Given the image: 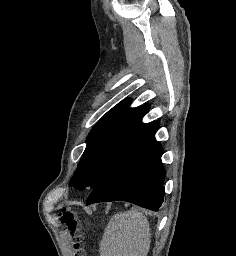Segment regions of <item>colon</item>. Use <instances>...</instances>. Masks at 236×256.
I'll return each mask as SVG.
<instances>
[{
	"label": "colon",
	"mask_w": 236,
	"mask_h": 256,
	"mask_svg": "<svg viewBox=\"0 0 236 256\" xmlns=\"http://www.w3.org/2000/svg\"><path fill=\"white\" fill-rule=\"evenodd\" d=\"M78 209L73 205L64 206L59 213L60 223L66 228V231L72 238V245L74 249L73 256H86L82 247V241L80 239H73L74 234L79 228L78 223Z\"/></svg>",
	"instance_id": "5ec220e1"
}]
</instances>
